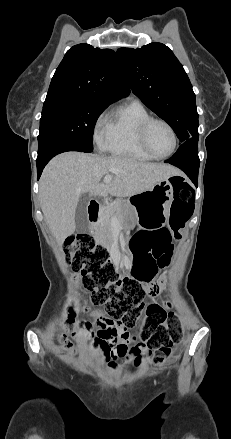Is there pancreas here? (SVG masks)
<instances>
[{"label":"pancreas","mask_w":231,"mask_h":439,"mask_svg":"<svg viewBox=\"0 0 231 439\" xmlns=\"http://www.w3.org/2000/svg\"><path fill=\"white\" fill-rule=\"evenodd\" d=\"M131 211L132 208L126 200L117 199L111 203L107 208H105L104 211V232L111 228V225L114 221L118 224H122L128 218Z\"/></svg>","instance_id":"obj_1"}]
</instances>
